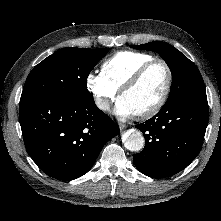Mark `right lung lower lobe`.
Returning a JSON list of instances; mask_svg holds the SVG:
<instances>
[{"mask_svg":"<svg viewBox=\"0 0 221 221\" xmlns=\"http://www.w3.org/2000/svg\"><path fill=\"white\" fill-rule=\"evenodd\" d=\"M19 120L28 154L59 180L88 172L103 146L119 133L93 98L20 101Z\"/></svg>","mask_w":221,"mask_h":221,"instance_id":"obj_1","label":"right lung lower lobe"}]
</instances>
